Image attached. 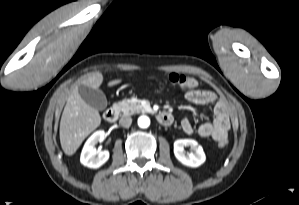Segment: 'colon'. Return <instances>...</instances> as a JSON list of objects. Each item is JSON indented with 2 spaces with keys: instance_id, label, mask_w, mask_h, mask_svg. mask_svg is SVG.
I'll return each mask as SVG.
<instances>
[{
  "instance_id": "5ec220e1",
  "label": "colon",
  "mask_w": 299,
  "mask_h": 205,
  "mask_svg": "<svg viewBox=\"0 0 299 205\" xmlns=\"http://www.w3.org/2000/svg\"><path fill=\"white\" fill-rule=\"evenodd\" d=\"M167 83L174 88H183L193 90L198 86V82L194 77L180 74L171 73L166 78ZM229 141L227 138H223L218 141V146L224 148L228 145Z\"/></svg>"
}]
</instances>
